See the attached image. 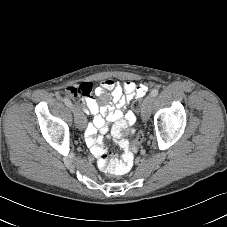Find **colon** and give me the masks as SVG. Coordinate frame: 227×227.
Masks as SVG:
<instances>
[{
	"label": "colon",
	"mask_w": 227,
	"mask_h": 227,
	"mask_svg": "<svg viewBox=\"0 0 227 227\" xmlns=\"http://www.w3.org/2000/svg\"><path fill=\"white\" fill-rule=\"evenodd\" d=\"M67 92L70 95H76V92L69 88ZM133 109L136 112H139L141 109V100L138 98L136 101L133 103ZM144 137V132L143 131H138L137 132V138L136 141L133 143L131 147L129 145L125 148L124 150V161L119 162L117 159L114 157L110 156L109 153H104L101 154L100 157L98 158V165L105 171L115 174V175H121L127 172L132 164H133V153H138L140 150V145L143 144V138Z\"/></svg>",
	"instance_id": "1"
}]
</instances>
